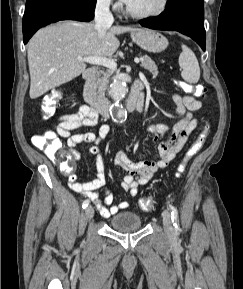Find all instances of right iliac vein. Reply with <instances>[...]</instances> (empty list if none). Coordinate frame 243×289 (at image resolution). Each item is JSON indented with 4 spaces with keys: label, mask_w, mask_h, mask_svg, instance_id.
<instances>
[{
    "label": "right iliac vein",
    "mask_w": 243,
    "mask_h": 289,
    "mask_svg": "<svg viewBox=\"0 0 243 289\" xmlns=\"http://www.w3.org/2000/svg\"><path fill=\"white\" fill-rule=\"evenodd\" d=\"M87 220H91L94 216V209L92 206H88L85 210Z\"/></svg>",
    "instance_id": "obj_1"
}]
</instances>
